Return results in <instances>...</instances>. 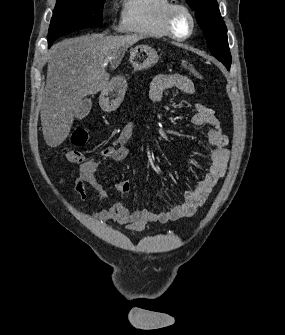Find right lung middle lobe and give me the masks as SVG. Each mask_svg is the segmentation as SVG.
<instances>
[{
	"label": "right lung middle lobe",
	"instance_id": "dd1d6c3e",
	"mask_svg": "<svg viewBox=\"0 0 285 335\" xmlns=\"http://www.w3.org/2000/svg\"><path fill=\"white\" fill-rule=\"evenodd\" d=\"M105 0H57L51 19L48 45L60 36L103 22Z\"/></svg>",
	"mask_w": 285,
	"mask_h": 335
}]
</instances>
